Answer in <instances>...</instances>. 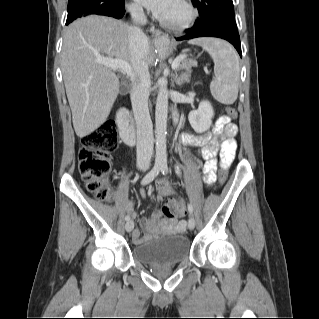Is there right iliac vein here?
I'll return each mask as SVG.
<instances>
[{"label": "right iliac vein", "mask_w": 319, "mask_h": 319, "mask_svg": "<svg viewBox=\"0 0 319 319\" xmlns=\"http://www.w3.org/2000/svg\"><path fill=\"white\" fill-rule=\"evenodd\" d=\"M133 228H134V223H133V221H132V220L127 221V222H126V225H125L126 231H127V232H131Z\"/></svg>", "instance_id": "1"}]
</instances>
